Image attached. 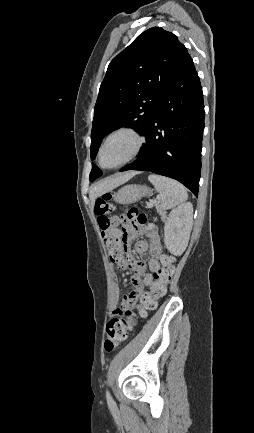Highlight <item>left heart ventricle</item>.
<instances>
[{
  "label": "left heart ventricle",
  "instance_id": "obj_1",
  "mask_svg": "<svg viewBox=\"0 0 254 433\" xmlns=\"http://www.w3.org/2000/svg\"><path fill=\"white\" fill-rule=\"evenodd\" d=\"M135 144V139L126 134L111 138L103 149L102 164L107 167L119 164L131 154Z\"/></svg>",
  "mask_w": 254,
  "mask_h": 433
}]
</instances>
